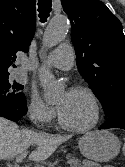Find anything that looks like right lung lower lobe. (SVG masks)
Here are the masks:
<instances>
[{"label": "right lung lower lobe", "instance_id": "98d812e1", "mask_svg": "<svg viewBox=\"0 0 125 167\" xmlns=\"http://www.w3.org/2000/svg\"><path fill=\"white\" fill-rule=\"evenodd\" d=\"M27 113L26 101L14 103L0 98V116L11 121H18Z\"/></svg>", "mask_w": 125, "mask_h": 167}]
</instances>
